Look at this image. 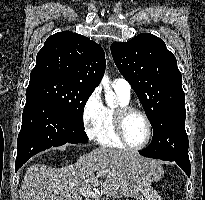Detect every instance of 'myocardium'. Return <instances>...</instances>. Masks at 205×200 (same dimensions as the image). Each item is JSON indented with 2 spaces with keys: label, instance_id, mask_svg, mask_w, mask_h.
Returning <instances> with one entry per match:
<instances>
[{
  "label": "myocardium",
  "instance_id": "obj_1",
  "mask_svg": "<svg viewBox=\"0 0 205 200\" xmlns=\"http://www.w3.org/2000/svg\"><path fill=\"white\" fill-rule=\"evenodd\" d=\"M133 114L140 115L146 122L148 127V135L144 143L141 145H131L125 136V122ZM113 126L114 131L119 139V141L124 145V147L131 150H141L149 145L153 137V125L149 116L142 110L133 107L131 105H120L113 113Z\"/></svg>",
  "mask_w": 205,
  "mask_h": 200
}]
</instances>
